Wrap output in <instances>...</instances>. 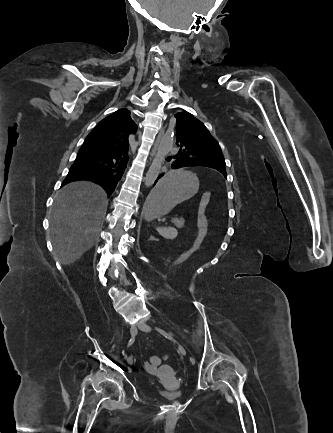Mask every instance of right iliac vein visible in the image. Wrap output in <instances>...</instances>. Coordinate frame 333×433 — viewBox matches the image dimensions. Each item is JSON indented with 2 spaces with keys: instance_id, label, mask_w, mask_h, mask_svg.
<instances>
[{
  "instance_id": "63e3f726",
  "label": "right iliac vein",
  "mask_w": 333,
  "mask_h": 433,
  "mask_svg": "<svg viewBox=\"0 0 333 433\" xmlns=\"http://www.w3.org/2000/svg\"><path fill=\"white\" fill-rule=\"evenodd\" d=\"M130 333L132 336H135L137 334V329L134 325L130 327ZM128 363L131 365L133 363L132 359H129Z\"/></svg>"
}]
</instances>
